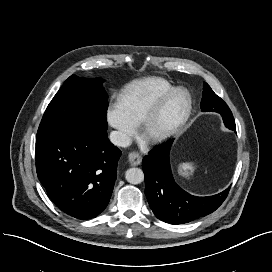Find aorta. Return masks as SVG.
<instances>
[{
    "instance_id": "762f6f07",
    "label": "aorta",
    "mask_w": 272,
    "mask_h": 272,
    "mask_svg": "<svg viewBox=\"0 0 272 272\" xmlns=\"http://www.w3.org/2000/svg\"><path fill=\"white\" fill-rule=\"evenodd\" d=\"M125 178L131 184H140L144 180V173L140 168H129L125 172Z\"/></svg>"
}]
</instances>
